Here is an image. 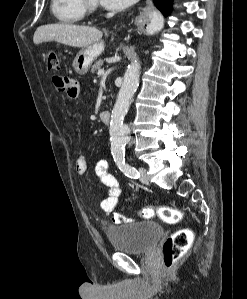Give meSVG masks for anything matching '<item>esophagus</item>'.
Instances as JSON below:
<instances>
[{"label": "esophagus", "instance_id": "esophagus-1", "mask_svg": "<svg viewBox=\"0 0 247 299\" xmlns=\"http://www.w3.org/2000/svg\"><path fill=\"white\" fill-rule=\"evenodd\" d=\"M147 4L148 6L151 8L152 7V1L151 0H147Z\"/></svg>", "mask_w": 247, "mask_h": 299}]
</instances>
